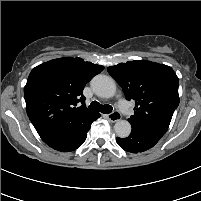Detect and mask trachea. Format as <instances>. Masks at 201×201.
<instances>
[{"label": "trachea", "mask_w": 201, "mask_h": 201, "mask_svg": "<svg viewBox=\"0 0 201 201\" xmlns=\"http://www.w3.org/2000/svg\"><path fill=\"white\" fill-rule=\"evenodd\" d=\"M89 109L93 111H99L104 114H109L112 112L113 108L110 105H101L97 101H92L91 104L89 105Z\"/></svg>", "instance_id": "obj_1"}]
</instances>
